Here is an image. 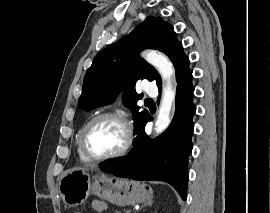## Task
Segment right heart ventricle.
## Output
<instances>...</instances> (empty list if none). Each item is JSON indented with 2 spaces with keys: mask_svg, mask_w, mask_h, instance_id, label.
Wrapping results in <instances>:
<instances>
[{
  "mask_svg": "<svg viewBox=\"0 0 270 213\" xmlns=\"http://www.w3.org/2000/svg\"><path fill=\"white\" fill-rule=\"evenodd\" d=\"M80 133L81 130L78 132L77 137H76V149H77V154L79 156V159L84 162L87 163L89 162V160L83 155L81 148H80Z\"/></svg>",
  "mask_w": 270,
  "mask_h": 213,
  "instance_id": "e07e8e85",
  "label": "right heart ventricle"
}]
</instances>
